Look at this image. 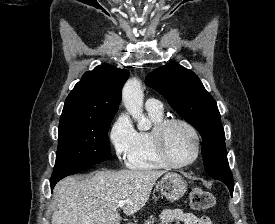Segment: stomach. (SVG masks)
<instances>
[{
	"mask_svg": "<svg viewBox=\"0 0 275 224\" xmlns=\"http://www.w3.org/2000/svg\"><path fill=\"white\" fill-rule=\"evenodd\" d=\"M158 188L162 196L173 202L186 193L187 182L177 173H167L159 181Z\"/></svg>",
	"mask_w": 275,
	"mask_h": 224,
	"instance_id": "stomach-1",
	"label": "stomach"
}]
</instances>
